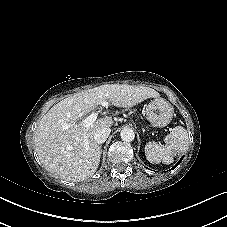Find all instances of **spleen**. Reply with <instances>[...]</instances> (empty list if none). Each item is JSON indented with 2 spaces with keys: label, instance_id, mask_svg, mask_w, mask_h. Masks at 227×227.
<instances>
[{
  "label": "spleen",
  "instance_id": "obj_1",
  "mask_svg": "<svg viewBox=\"0 0 227 227\" xmlns=\"http://www.w3.org/2000/svg\"><path fill=\"white\" fill-rule=\"evenodd\" d=\"M164 141L166 145L154 141L145 145V156L150 163L171 164L177 154L186 151L189 141L188 132L184 127L176 126L166 135Z\"/></svg>",
  "mask_w": 227,
  "mask_h": 227
}]
</instances>
